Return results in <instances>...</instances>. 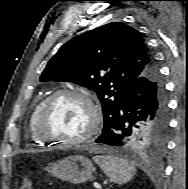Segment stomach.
Wrapping results in <instances>:
<instances>
[{"label": "stomach", "mask_w": 188, "mask_h": 189, "mask_svg": "<svg viewBox=\"0 0 188 189\" xmlns=\"http://www.w3.org/2000/svg\"><path fill=\"white\" fill-rule=\"evenodd\" d=\"M46 171L62 180L80 184L92 177L94 167L88 158L76 155L49 164V166L46 167Z\"/></svg>", "instance_id": "stomach-1"}]
</instances>
